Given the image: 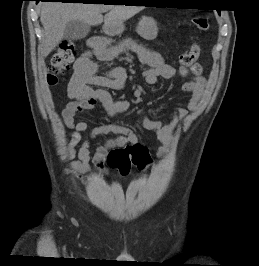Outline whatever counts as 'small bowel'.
<instances>
[{
    "mask_svg": "<svg viewBox=\"0 0 259 266\" xmlns=\"http://www.w3.org/2000/svg\"><path fill=\"white\" fill-rule=\"evenodd\" d=\"M91 50L81 55L74 64V73L68 84V95L70 102L62 111L65 125L73 129L67 155L70 158L77 156V160L72 163L73 169L77 173H86L90 170V164L102 175L108 173V155L117 148L139 143L137 134L128 127L115 123H105L92 128L89 138L94 139L101 135L114 134V138L109 139L103 145L97 147L93 156L90 155V140L82 141V134L88 130L86 122H75V116L84 110L94 108L98 103L102 105L106 114L110 117L122 113L128 109V102L122 99H114L104 88L121 89L126 81L127 75L123 68L116 67L106 75L97 74V63L95 60L109 59L125 51H133L138 56L141 63L147 69L142 72L145 82L153 85L158 78L171 79L176 74V69L167 64L162 55L133 42L122 44H109L106 39L95 37L90 42ZM179 75L185 77L189 73L192 79L183 85V90L190 94V98L185 107H176L171 120L163 122L153 120L142 114V125L151 130L161 142L156 155L162 157L173 146V133L178 122L184 120L189 111L198 107L203 92L206 87V79L203 76V69L199 63L190 67L180 66ZM99 86L100 88H93ZM80 144L76 151V145ZM110 167V166H109Z\"/></svg>",
    "mask_w": 259,
    "mask_h": 266,
    "instance_id": "obj_1",
    "label": "small bowel"
}]
</instances>
